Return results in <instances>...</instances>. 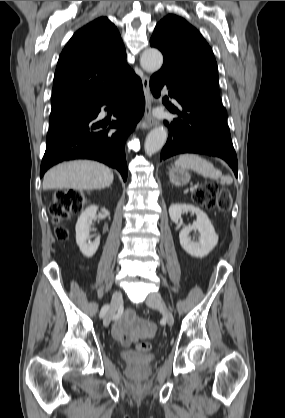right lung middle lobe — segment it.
I'll list each match as a JSON object with an SVG mask.
<instances>
[{
  "mask_svg": "<svg viewBox=\"0 0 285 418\" xmlns=\"http://www.w3.org/2000/svg\"><path fill=\"white\" fill-rule=\"evenodd\" d=\"M90 104H77V105H68L57 108H52L50 114V126L57 124L67 118H70L74 115H78L84 112H88Z\"/></svg>",
  "mask_w": 285,
  "mask_h": 418,
  "instance_id": "1",
  "label": "right lung middle lobe"
}]
</instances>
